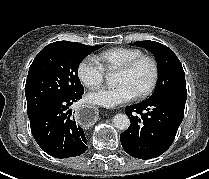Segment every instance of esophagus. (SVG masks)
<instances>
[{"label": "esophagus", "instance_id": "obj_1", "mask_svg": "<svg viewBox=\"0 0 209 179\" xmlns=\"http://www.w3.org/2000/svg\"><path fill=\"white\" fill-rule=\"evenodd\" d=\"M75 119L81 127L89 128L97 122L98 113L93 105L82 104L76 110Z\"/></svg>", "mask_w": 209, "mask_h": 179}]
</instances>
